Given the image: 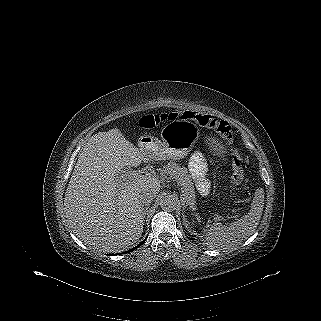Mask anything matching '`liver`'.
I'll list each match as a JSON object with an SVG mask.
<instances>
[{
    "mask_svg": "<svg viewBox=\"0 0 321 321\" xmlns=\"http://www.w3.org/2000/svg\"><path fill=\"white\" fill-rule=\"evenodd\" d=\"M161 157L149 149L141 151L119 129L94 134L85 143L70 178L65 213L75 234L85 244L105 252H117L134 245L142 236L143 188L159 192L156 175L132 176L124 170Z\"/></svg>",
    "mask_w": 321,
    "mask_h": 321,
    "instance_id": "obj_1",
    "label": "liver"
}]
</instances>
